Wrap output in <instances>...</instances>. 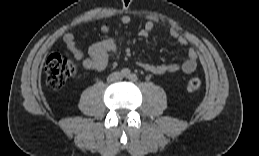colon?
<instances>
[{
	"mask_svg": "<svg viewBox=\"0 0 259 156\" xmlns=\"http://www.w3.org/2000/svg\"><path fill=\"white\" fill-rule=\"evenodd\" d=\"M46 83L51 89L61 88L65 82L76 75V65L66 53L50 54L44 65ZM202 85L199 77L191 78L186 85L189 92L198 90Z\"/></svg>",
	"mask_w": 259,
	"mask_h": 156,
	"instance_id": "1",
	"label": "colon"
}]
</instances>
